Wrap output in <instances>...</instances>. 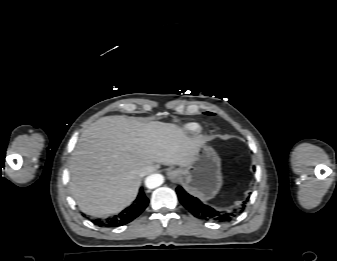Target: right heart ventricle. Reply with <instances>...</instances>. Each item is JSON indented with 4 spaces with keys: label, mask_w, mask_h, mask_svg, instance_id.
I'll return each mask as SVG.
<instances>
[{
    "label": "right heart ventricle",
    "mask_w": 337,
    "mask_h": 261,
    "mask_svg": "<svg viewBox=\"0 0 337 261\" xmlns=\"http://www.w3.org/2000/svg\"><path fill=\"white\" fill-rule=\"evenodd\" d=\"M184 129L186 132L191 133V134H196L201 131L202 127L199 123H188L184 126Z\"/></svg>",
    "instance_id": "obj_1"
}]
</instances>
